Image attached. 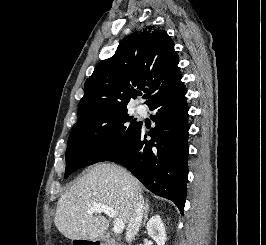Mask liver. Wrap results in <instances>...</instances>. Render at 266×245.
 I'll return each mask as SVG.
<instances>
[{
  "label": "liver",
  "instance_id": "liver-1",
  "mask_svg": "<svg viewBox=\"0 0 266 245\" xmlns=\"http://www.w3.org/2000/svg\"><path fill=\"white\" fill-rule=\"evenodd\" d=\"M132 191L141 193L140 181L114 163L94 165L60 197L54 217L55 227L72 241H97L108 231L102 215L88 213L93 203L108 205L115 211V221L128 225Z\"/></svg>",
  "mask_w": 266,
  "mask_h": 245
}]
</instances>
